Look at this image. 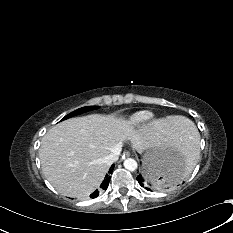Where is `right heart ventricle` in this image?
Listing matches in <instances>:
<instances>
[{"label": "right heart ventricle", "mask_w": 233, "mask_h": 233, "mask_svg": "<svg viewBox=\"0 0 233 233\" xmlns=\"http://www.w3.org/2000/svg\"><path fill=\"white\" fill-rule=\"evenodd\" d=\"M154 118V114L150 111H138L128 118V124L135 129H139L148 125Z\"/></svg>", "instance_id": "e07e8e85"}]
</instances>
